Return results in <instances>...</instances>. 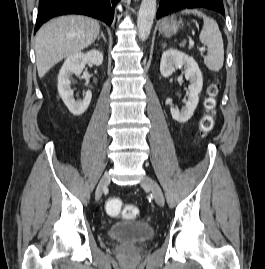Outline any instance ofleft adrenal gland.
Segmentation results:
<instances>
[{
	"instance_id": "1",
	"label": "left adrenal gland",
	"mask_w": 265,
	"mask_h": 269,
	"mask_svg": "<svg viewBox=\"0 0 265 269\" xmlns=\"http://www.w3.org/2000/svg\"><path fill=\"white\" fill-rule=\"evenodd\" d=\"M162 46H163V48H165L167 45L164 43V44H162Z\"/></svg>"
}]
</instances>
